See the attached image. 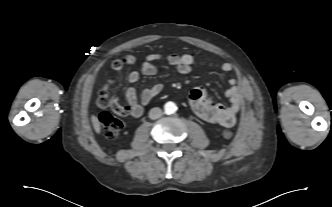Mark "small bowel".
Returning <instances> with one entry per match:
<instances>
[{
  "label": "small bowel",
  "instance_id": "small-bowel-1",
  "mask_svg": "<svg viewBox=\"0 0 332 207\" xmlns=\"http://www.w3.org/2000/svg\"><path fill=\"white\" fill-rule=\"evenodd\" d=\"M198 61V57L194 53H186L183 55H167L163 56L159 53L148 54L141 66V73L145 76H155L158 72L154 62H166L173 65L180 74H188L192 70V66ZM134 59L132 58V63ZM131 63V64H132ZM220 69L224 73L234 71V67L229 62H223ZM140 78V73L136 70L129 72L127 79L130 84L136 83ZM109 85H113L115 80L109 79ZM229 89L226 92L229 98V105L222 106L214 102L207 94L203 87L194 88L189 95L190 105L193 111L204 121L218 124L224 127H232L236 124L237 114L240 110L243 95L238 87V79L236 76L229 79ZM162 86L160 84L152 85L144 89L138 98L135 89L128 86L125 90V97L128 103L127 113L122 115H129L133 118H138L142 115L144 106L149 104L153 98L160 94Z\"/></svg>",
  "mask_w": 332,
  "mask_h": 207
}]
</instances>
